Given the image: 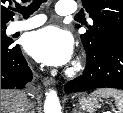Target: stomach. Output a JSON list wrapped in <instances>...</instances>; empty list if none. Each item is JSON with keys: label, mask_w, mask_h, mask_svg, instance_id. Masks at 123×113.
<instances>
[{"label": "stomach", "mask_w": 123, "mask_h": 113, "mask_svg": "<svg viewBox=\"0 0 123 113\" xmlns=\"http://www.w3.org/2000/svg\"><path fill=\"white\" fill-rule=\"evenodd\" d=\"M78 106L87 113H95L99 104L94 96H81L78 98Z\"/></svg>", "instance_id": "obj_1"}]
</instances>
